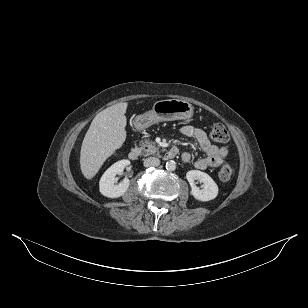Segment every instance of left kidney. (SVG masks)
Masks as SVG:
<instances>
[{
    "instance_id": "5707ae66",
    "label": "left kidney",
    "mask_w": 308,
    "mask_h": 308,
    "mask_svg": "<svg viewBox=\"0 0 308 308\" xmlns=\"http://www.w3.org/2000/svg\"><path fill=\"white\" fill-rule=\"evenodd\" d=\"M186 178L191 186V194L195 199L206 202L217 197L218 186L207 173L190 170L186 173ZM195 180L203 183V189L195 185Z\"/></svg>"
}]
</instances>
